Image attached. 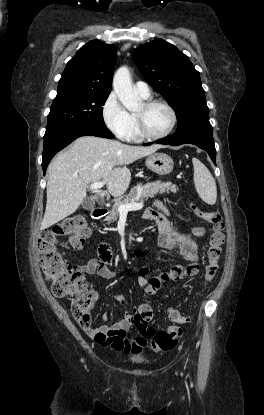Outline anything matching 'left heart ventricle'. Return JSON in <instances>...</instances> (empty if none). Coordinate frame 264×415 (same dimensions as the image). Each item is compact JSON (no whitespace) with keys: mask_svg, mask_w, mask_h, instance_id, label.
<instances>
[{"mask_svg":"<svg viewBox=\"0 0 264 415\" xmlns=\"http://www.w3.org/2000/svg\"><path fill=\"white\" fill-rule=\"evenodd\" d=\"M144 117L145 126L150 134L158 135L165 132L171 124L170 112L161 105H156L152 108L145 109L143 104L136 111Z\"/></svg>","mask_w":264,"mask_h":415,"instance_id":"b2bd125f","label":"left heart ventricle"}]
</instances>
